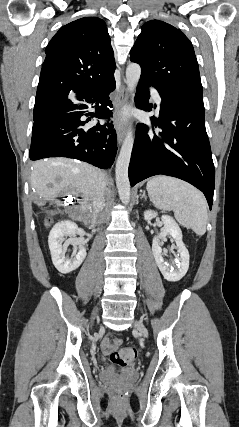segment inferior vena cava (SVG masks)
Returning a JSON list of instances; mask_svg holds the SVG:
<instances>
[{
  "mask_svg": "<svg viewBox=\"0 0 239 427\" xmlns=\"http://www.w3.org/2000/svg\"><path fill=\"white\" fill-rule=\"evenodd\" d=\"M106 188V176L104 173H101L99 176L97 193L94 198V206L96 214L100 213L105 206L104 192Z\"/></svg>",
  "mask_w": 239,
  "mask_h": 427,
  "instance_id": "1",
  "label": "inferior vena cava"
}]
</instances>
